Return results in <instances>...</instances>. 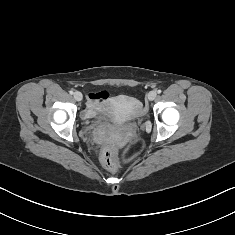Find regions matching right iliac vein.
Listing matches in <instances>:
<instances>
[{
    "label": "right iliac vein",
    "mask_w": 235,
    "mask_h": 235,
    "mask_svg": "<svg viewBox=\"0 0 235 235\" xmlns=\"http://www.w3.org/2000/svg\"><path fill=\"white\" fill-rule=\"evenodd\" d=\"M74 98H75L77 101H81L82 98H83V95H82L81 92L76 91V92L74 93Z\"/></svg>",
    "instance_id": "1"
}]
</instances>
